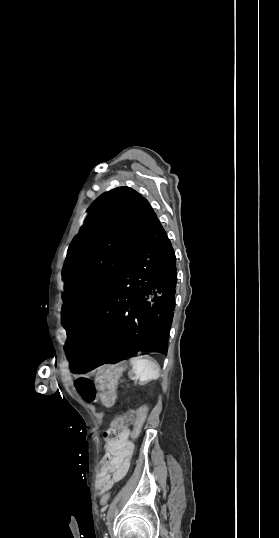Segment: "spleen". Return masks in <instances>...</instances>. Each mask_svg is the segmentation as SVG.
Returning <instances> with one entry per match:
<instances>
[{"mask_svg":"<svg viewBox=\"0 0 279 538\" xmlns=\"http://www.w3.org/2000/svg\"><path fill=\"white\" fill-rule=\"evenodd\" d=\"M133 372L142 378V383H147V380H157L160 376V366L156 362H152L149 358H131Z\"/></svg>","mask_w":279,"mask_h":538,"instance_id":"spleen-1","label":"spleen"}]
</instances>
